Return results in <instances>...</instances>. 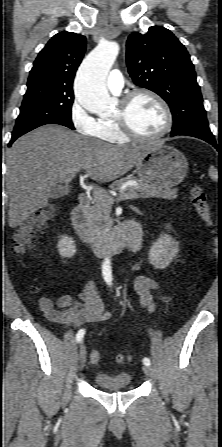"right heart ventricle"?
Masks as SVG:
<instances>
[{"label":"right heart ventricle","mask_w":222,"mask_h":447,"mask_svg":"<svg viewBox=\"0 0 222 447\" xmlns=\"http://www.w3.org/2000/svg\"><path fill=\"white\" fill-rule=\"evenodd\" d=\"M96 131L94 136L110 142V143H125L128 138L120 131L113 117H100L97 121Z\"/></svg>","instance_id":"right-heart-ventricle-1"}]
</instances>
